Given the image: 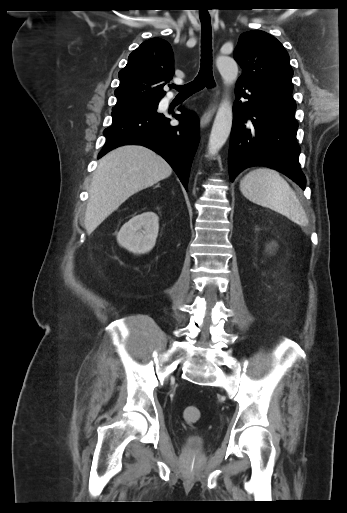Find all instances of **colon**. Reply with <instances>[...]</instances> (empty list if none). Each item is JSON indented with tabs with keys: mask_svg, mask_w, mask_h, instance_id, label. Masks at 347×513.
<instances>
[{
	"mask_svg": "<svg viewBox=\"0 0 347 513\" xmlns=\"http://www.w3.org/2000/svg\"><path fill=\"white\" fill-rule=\"evenodd\" d=\"M183 416L188 424H196L201 419V411L195 406H187L184 409Z\"/></svg>",
	"mask_w": 347,
	"mask_h": 513,
	"instance_id": "5ec220e1",
	"label": "colon"
}]
</instances>
